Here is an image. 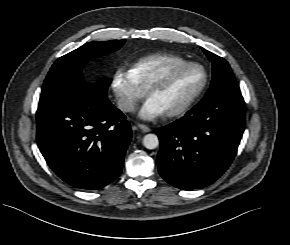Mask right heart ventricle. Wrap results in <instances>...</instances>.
<instances>
[{
    "label": "right heart ventricle",
    "mask_w": 290,
    "mask_h": 245,
    "mask_svg": "<svg viewBox=\"0 0 290 245\" xmlns=\"http://www.w3.org/2000/svg\"><path fill=\"white\" fill-rule=\"evenodd\" d=\"M187 60L174 54H154L135 62L130 71L139 86L146 89L149 83L160 73L174 65L182 64Z\"/></svg>",
    "instance_id": "e07e8e85"
}]
</instances>
